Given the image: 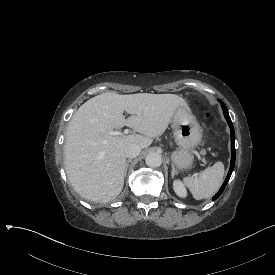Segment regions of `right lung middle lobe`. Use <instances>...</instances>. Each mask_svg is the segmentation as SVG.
Returning <instances> with one entry per match:
<instances>
[{"label":"right lung middle lobe","instance_id":"1","mask_svg":"<svg viewBox=\"0 0 275 275\" xmlns=\"http://www.w3.org/2000/svg\"><path fill=\"white\" fill-rule=\"evenodd\" d=\"M125 195H126V192L122 191L120 194L114 196L113 198H100L99 200L98 199H92L91 203L92 204H98L99 202L104 203V204L114 203L115 201H119Z\"/></svg>","mask_w":275,"mask_h":275}]
</instances>
